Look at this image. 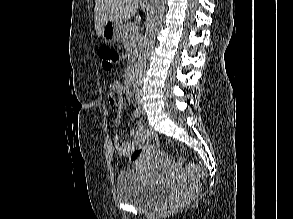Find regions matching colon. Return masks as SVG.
Instances as JSON below:
<instances>
[{
	"label": "colon",
	"mask_w": 293,
	"mask_h": 219,
	"mask_svg": "<svg viewBox=\"0 0 293 219\" xmlns=\"http://www.w3.org/2000/svg\"><path fill=\"white\" fill-rule=\"evenodd\" d=\"M100 58L102 60V65L104 69L108 72L113 71L116 64L119 60L118 53L108 46H104L100 49ZM159 144V139L156 133L147 131L146 138L143 145L139 148L134 149L130 154V159L135 162L139 160L144 154L155 149ZM178 164L181 168L195 173L199 178L204 179L206 177V170L194 163L193 161L188 160L185 157H181L178 160Z\"/></svg>",
	"instance_id": "obj_1"
}]
</instances>
